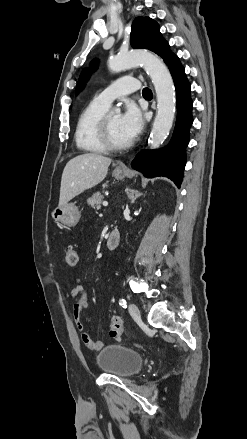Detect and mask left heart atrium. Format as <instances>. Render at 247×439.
Returning a JSON list of instances; mask_svg holds the SVG:
<instances>
[{
  "label": "left heart atrium",
  "instance_id": "left-heart-atrium-1",
  "mask_svg": "<svg viewBox=\"0 0 247 439\" xmlns=\"http://www.w3.org/2000/svg\"><path fill=\"white\" fill-rule=\"evenodd\" d=\"M144 117L141 110L133 103L126 106L124 113L120 116V126L125 137L131 141L142 131Z\"/></svg>",
  "mask_w": 247,
  "mask_h": 439
}]
</instances>
